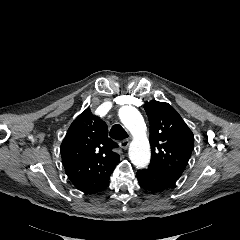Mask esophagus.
Wrapping results in <instances>:
<instances>
[{"label":"esophagus","instance_id":"34e87169","mask_svg":"<svg viewBox=\"0 0 240 240\" xmlns=\"http://www.w3.org/2000/svg\"><path fill=\"white\" fill-rule=\"evenodd\" d=\"M120 146H121V148H123V149H127L128 148V146H129V140L128 139H124V140H122L121 142H120Z\"/></svg>","mask_w":240,"mask_h":240}]
</instances>
